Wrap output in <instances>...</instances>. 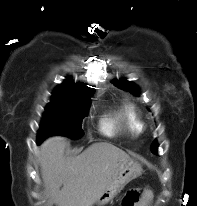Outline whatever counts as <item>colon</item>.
I'll return each instance as SVG.
<instances>
[{
	"mask_svg": "<svg viewBox=\"0 0 197 206\" xmlns=\"http://www.w3.org/2000/svg\"><path fill=\"white\" fill-rule=\"evenodd\" d=\"M142 191L139 189H132L130 190L124 200H123V205L124 206H132L135 202H137L141 196Z\"/></svg>",
	"mask_w": 197,
	"mask_h": 206,
	"instance_id": "1",
	"label": "colon"
}]
</instances>
